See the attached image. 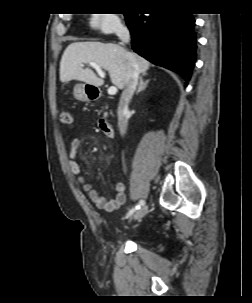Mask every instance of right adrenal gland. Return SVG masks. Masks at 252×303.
I'll list each match as a JSON object with an SVG mask.
<instances>
[{
	"instance_id": "2a0ac1e0",
	"label": "right adrenal gland",
	"mask_w": 252,
	"mask_h": 303,
	"mask_svg": "<svg viewBox=\"0 0 252 303\" xmlns=\"http://www.w3.org/2000/svg\"><path fill=\"white\" fill-rule=\"evenodd\" d=\"M144 76H146V73L142 74V76L140 77L139 86H138L137 91L135 92L136 95L139 94L141 91H143L147 87V85L150 81V80L144 81V79H143Z\"/></svg>"
}]
</instances>
